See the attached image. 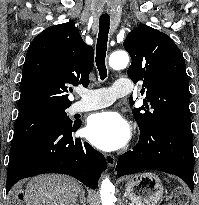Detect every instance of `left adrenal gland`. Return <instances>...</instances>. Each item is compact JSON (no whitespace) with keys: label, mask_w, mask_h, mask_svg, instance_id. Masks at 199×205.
<instances>
[{"label":"left adrenal gland","mask_w":199,"mask_h":205,"mask_svg":"<svg viewBox=\"0 0 199 205\" xmlns=\"http://www.w3.org/2000/svg\"><path fill=\"white\" fill-rule=\"evenodd\" d=\"M123 201H124V197H123ZM122 205H126V203H123Z\"/></svg>","instance_id":"left-adrenal-gland-1"}]
</instances>
